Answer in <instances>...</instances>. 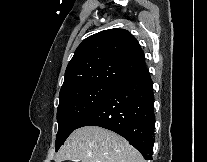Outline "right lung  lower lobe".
Instances as JSON below:
<instances>
[{"label": "right lung lower lobe", "instance_id": "1", "mask_svg": "<svg viewBox=\"0 0 207 162\" xmlns=\"http://www.w3.org/2000/svg\"><path fill=\"white\" fill-rule=\"evenodd\" d=\"M99 126L127 139L152 160L154 142L153 82L148 69L126 77L81 121L77 128Z\"/></svg>", "mask_w": 207, "mask_h": 162}]
</instances>
